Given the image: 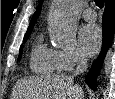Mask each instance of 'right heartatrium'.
<instances>
[{"label": "right heart atrium", "instance_id": "right-heart-atrium-1", "mask_svg": "<svg viewBox=\"0 0 115 99\" xmlns=\"http://www.w3.org/2000/svg\"><path fill=\"white\" fill-rule=\"evenodd\" d=\"M56 56L58 68L61 71H70L83 60L77 49L57 50Z\"/></svg>", "mask_w": 115, "mask_h": 99}]
</instances>
